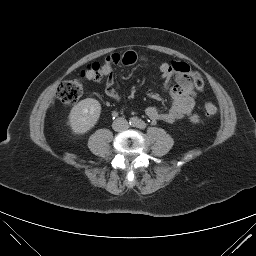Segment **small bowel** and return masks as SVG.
Wrapping results in <instances>:
<instances>
[{"label":"small bowel","mask_w":256,"mask_h":256,"mask_svg":"<svg viewBox=\"0 0 256 256\" xmlns=\"http://www.w3.org/2000/svg\"><path fill=\"white\" fill-rule=\"evenodd\" d=\"M139 61H146V57L134 51H127L122 54L115 53L106 58L103 66V75L107 77L104 89L107 97L116 101L120 99L114 87V65H133ZM159 68L161 78L164 82V88L169 90L173 103L167 112H161L156 107L149 106L146 108V115L151 120L163 121L169 124L182 119L197 123L199 117L194 113L196 92L192 83L190 67L184 62L164 61L160 64ZM171 82H174V84L170 85Z\"/></svg>","instance_id":"c3829d8e"}]
</instances>
